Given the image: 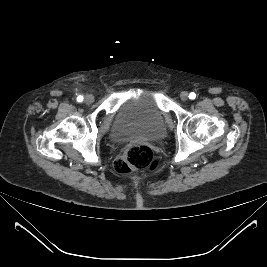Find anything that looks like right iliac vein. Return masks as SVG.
Returning a JSON list of instances; mask_svg holds the SVG:
<instances>
[{
  "instance_id": "63e3f726",
  "label": "right iliac vein",
  "mask_w": 267,
  "mask_h": 267,
  "mask_svg": "<svg viewBox=\"0 0 267 267\" xmlns=\"http://www.w3.org/2000/svg\"><path fill=\"white\" fill-rule=\"evenodd\" d=\"M85 103L91 104L94 101V96L91 94H88L84 98Z\"/></svg>"
}]
</instances>
